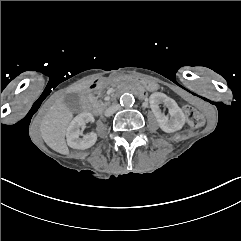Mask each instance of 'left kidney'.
Segmentation results:
<instances>
[{"label":"left kidney","mask_w":241,"mask_h":241,"mask_svg":"<svg viewBox=\"0 0 241 241\" xmlns=\"http://www.w3.org/2000/svg\"><path fill=\"white\" fill-rule=\"evenodd\" d=\"M149 102L152 112L155 115L160 128L164 132H175L183 127L185 123L184 113L173 99L164 93L155 92L150 95ZM162 103L168 108L171 116L170 119L168 116H165L163 113H161L159 104Z\"/></svg>","instance_id":"left-kidney-1"}]
</instances>
